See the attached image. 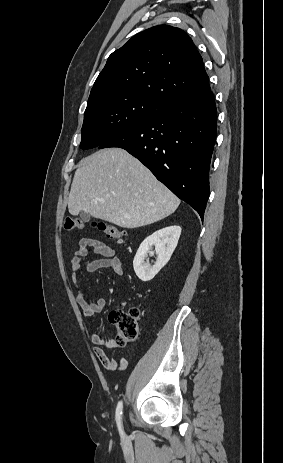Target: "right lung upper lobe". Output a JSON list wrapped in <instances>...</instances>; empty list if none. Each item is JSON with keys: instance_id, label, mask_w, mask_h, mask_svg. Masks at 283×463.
<instances>
[{"instance_id": "cb5924a9", "label": "right lung upper lobe", "mask_w": 283, "mask_h": 463, "mask_svg": "<svg viewBox=\"0 0 283 463\" xmlns=\"http://www.w3.org/2000/svg\"><path fill=\"white\" fill-rule=\"evenodd\" d=\"M208 90V75L191 38L179 28L159 25L138 33L109 56L89 100L124 91L161 105Z\"/></svg>"}]
</instances>
